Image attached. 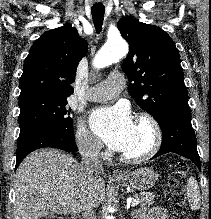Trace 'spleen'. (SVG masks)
<instances>
[{
    "mask_svg": "<svg viewBox=\"0 0 211 219\" xmlns=\"http://www.w3.org/2000/svg\"><path fill=\"white\" fill-rule=\"evenodd\" d=\"M187 199L192 210H199L201 204L200 190L194 177L188 179Z\"/></svg>",
    "mask_w": 211,
    "mask_h": 219,
    "instance_id": "3e777b00",
    "label": "spleen"
}]
</instances>
